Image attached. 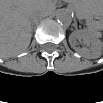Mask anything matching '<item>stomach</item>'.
<instances>
[{
  "instance_id": "0dacf381",
  "label": "stomach",
  "mask_w": 103,
  "mask_h": 103,
  "mask_svg": "<svg viewBox=\"0 0 103 103\" xmlns=\"http://www.w3.org/2000/svg\"><path fill=\"white\" fill-rule=\"evenodd\" d=\"M81 6L90 11L91 9L96 8L97 6H100L98 3H90V2H83L81 3Z\"/></svg>"
}]
</instances>
